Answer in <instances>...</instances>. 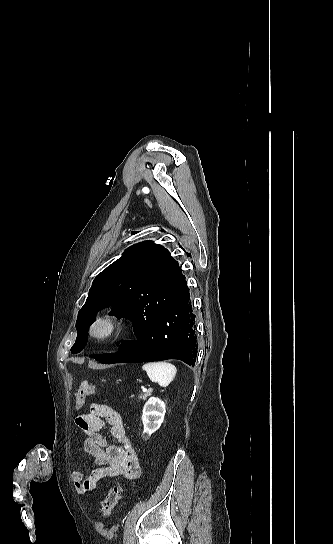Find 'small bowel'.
I'll use <instances>...</instances> for the list:
<instances>
[{
    "label": "small bowel",
    "mask_w": 333,
    "mask_h": 544,
    "mask_svg": "<svg viewBox=\"0 0 333 544\" xmlns=\"http://www.w3.org/2000/svg\"><path fill=\"white\" fill-rule=\"evenodd\" d=\"M77 426L86 434L84 451L97 467L85 476L81 471L71 474L78 493L96 489L100 480L123 476L130 479L140 475L141 468L136 450L127 436L121 415L105 404L92 403L90 412L76 419ZM108 429L113 442L109 443L104 430Z\"/></svg>",
    "instance_id": "1"
}]
</instances>
